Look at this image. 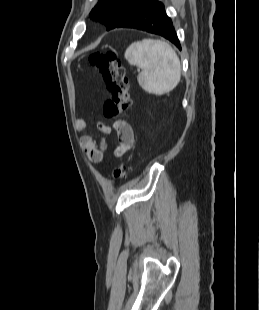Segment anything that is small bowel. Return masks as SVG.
I'll use <instances>...</instances> for the list:
<instances>
[{
  "label": "small bowel",
  "mask_w": 259,
  "mask_h": 310,
  "mask_svg": "<svg viewBox=\"0 0 259 310\" xmlns=\"http://www.w3.org/2000/svg\"><path fill=\"white\" fill-rule=\"evenodd\" d=\"M117 131L119 145L115 150L116 156H122L125 152L129 151L135 142V135L131 125L125 121H117L113 125ZM75 128L78 131L87 130L88 126L85 120L77 119L75 121ZM98 128L104 134L111 133L112 128L104 125L103 123L98 124ZM80 147L85 151L88 159L93 163H98L102 160L104 152L107 148V141L103 138L97 142L90 135H82L79 140Z\"/></svg>",
  "instance_id": "1"
}]
</instances>
